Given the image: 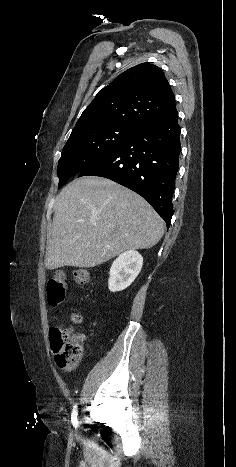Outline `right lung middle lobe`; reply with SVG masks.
<instances>
[{"label": "right lung middle lobe", "mask_w": 236, "mask_h": 467, "mask_svg": "<svg viewBox=\"0 0 236 467\" xmlns=\"http://www.w3.org/2000/svg\"><path fill=\"white\" fill-rule=\"evenodd\" d=\"M136 129L109 125L71 134L58 161L59 186L94 164L128 139Z\"/></svg>", "instance_id": "1"}]
</instances>
